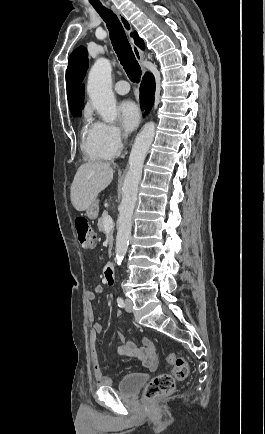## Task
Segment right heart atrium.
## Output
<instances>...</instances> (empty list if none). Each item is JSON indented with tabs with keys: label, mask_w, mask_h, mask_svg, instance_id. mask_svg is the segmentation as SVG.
I'll return each instance as SVG.
<instances>
[{
	"label": "right heart atrium",
	"mask_w": 265,
	"mask_h": 434,
	"mask_svg": "<svg viewBox=\"0 0 265 434\" xmlns=\"http://www.w3.org/2000/svg\"><path fill=\"white\" fill-rule=\"evenodd\" d=\"M93 127L97 131L105 130V132L100 133V137L97 139L99 144L104 141H116L115 145H105L102 148L105 154H124L125 147L123 144L129 140L128 132H123L121 126L114 122L108 123L105 119H100Z\"/></svg>",
	"instance_id": "obj_1"
}]
</instances>
